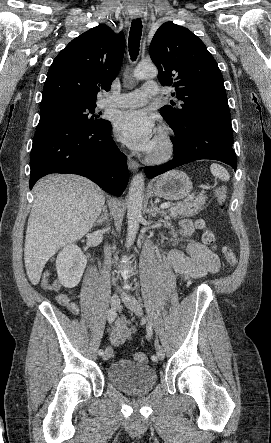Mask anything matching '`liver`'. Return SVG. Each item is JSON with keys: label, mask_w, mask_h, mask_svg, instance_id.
Segmentation results:
<instances>
[{"label": "liver", "mask_w": 271, "mask_h": 443, "mask_svg": "<svg viewBox=\"0 0 271 443\" xmlns=\"http://www.w3.org/2000/svg\"><path fill=\"white\" fill-rule=\"evenodd\" d=\"M34 202L27 223L24 263L37 285L43 267L60 247L90 231L104 210V192L82 176H46L33 188Z\"/></svg>", "instance_id": "6515ba94"}]
</instances>
